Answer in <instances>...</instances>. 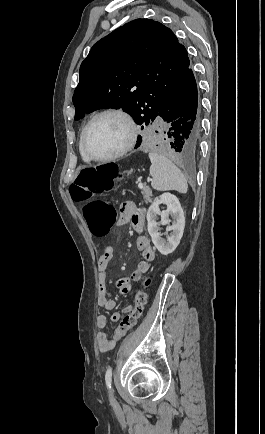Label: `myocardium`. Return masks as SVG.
<instances>
[{
    "instance_id": "f54148a6",
    "label": "myocardium",
    "mask_w": 265,
    "mask_h": 434,
    "mask_svg": "<svg viewBox=\"0 0 265 434\" xmlns=\"http://www.w3.org/2000/svg\"><path fill=\"white\" fill-rule=\"evenodd\" d=\"M118 115L120 117H122L127 125H128V129H129V136H128V140L127 143L125 144V146L123 148H121L119 151H117L116 153L107 156V157H103V158H97L92 156L91 154L88 153V151L86 150V139L87 136L90 133V130L92 128V126L94 125V123L100 119L103 116L106 115ZM137 137H138V127L136 125V122L133 118V116L126 111L125 109L121 108V107H109V108H105L99 112H97L86 124V126L84 127V131L82 136L80 137V143H79V147H80V153L81 155L89 162L91 163H108L114 160H117L119 158H122L123 156H125L127 153H129L135 146L136 141H137Z\"/></svg>"
}]
</instances>
